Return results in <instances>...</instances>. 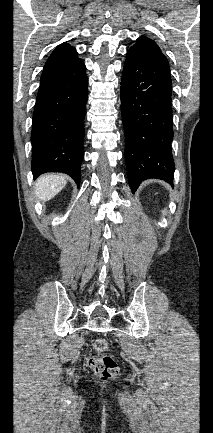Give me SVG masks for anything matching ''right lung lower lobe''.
<instances>
[{
  "label": "right lung lower lobe",
  "mask_w": 213,
  "mask_h": 433,
  "mask_svg": "<svg viewBox=\"0 0 213 433\" xmlns=\"http://www.w3.org/2000/svg\"><path fill=\"white\" fill-rule=\"evenodd\" d=\"M87 88L86 67L79 58L44 66L31 133L34 178L62 172L79 186Z\"/></svg>",
  "instance_id": "98d812e1"
}]
</instances>
